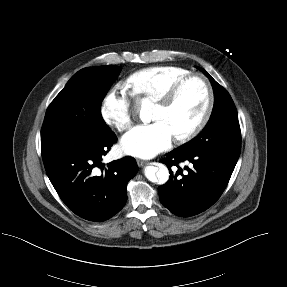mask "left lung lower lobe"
Instances as JSON below:
<instances>
[{
  "label": "left lung lower lobe",
  "mask_w": 287,
  "mask_h": 287,
  "mask_svg": "<svg viewBox=\"0 0 287 287\" xmlns=\"http://www.w3.org/2000/svg\"><path fill=\"white\" fill-rule=\"evenodd\" d=\"M238 158L212 150L177 148L166 154L162 163L170 171L168 182L158 188L164 207L180 217L197 215L212 206L227 186ZM192 163L183 173L181 162ZM177 166L173 172L171 167Z\"/></svg>",
  "instance_id": "0a47b994"
}]
</instances>
